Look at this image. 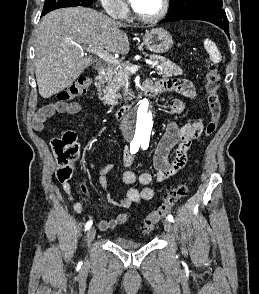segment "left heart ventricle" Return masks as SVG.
<instances>
[{
    "label": "left heart ventricle",
    "instance_id": "1",
    "mask_svg": "<svg viewBox=\"0 0 259 294\" xmlns=\"http://www.w3.org/2000/svg\"><path fill=\"white\" fill-rule=\"evenodd\" d=\"M161 9V0H140L135 10L143 16H151Z\"/></svg>",
    "mask_w": 259,
    "mask_h": 294
}]
</instances>
